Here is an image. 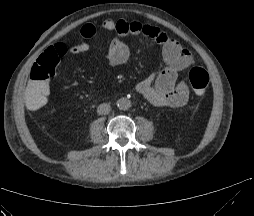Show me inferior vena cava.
Listing matches in <instances>:
<instances>
[{"mask_svg":"<svg viewBox=\"0 0 254 216\" xmlns=\"http://www.w3.org/2000/svg\"><path fill=\"white\" fill-rule=\"evenodd\" d=\"M111 110V107L107 103H102L97 107V113L99 115H107Z\"/></svg>","mask_w":254,"mask_h":216,"instance_id":"inferior-vena-cava-1","label":"inferior vena cava"}]
</instances>
